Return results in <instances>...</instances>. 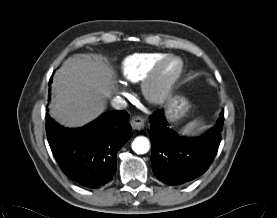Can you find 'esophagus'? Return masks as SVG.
Here are the masks:
<instances>
[{
  "label": "esophagus",
  "instance_id": "obj_1",
  "mask_svg": "<svg viewBox=\"0 0 277 218\" xmlns=\"http://www.w3.org/2000/svg\"><path fill=\"white\" fill-rule=\"evenodd\" d=\"M130 124L134 130H141L144 128L145 120L141 116H135L131 119Z\"/></svg>",
  "mask_w": 277,
  "mask_h": 218
}]
</instances>
